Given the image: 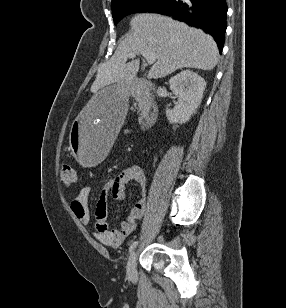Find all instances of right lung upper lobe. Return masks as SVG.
Masks as SVG:
<instances>
[{
    "mask_svg": "<svg viewBox=\"0 0 286 308\" xmlns=\"http://www.w3.org/2000/svg\"><path fill=\"white\" fill-rule=\"evenodd\" d=\"M119 0H112V5H114Z\"/></svg>",
    "mask_w": 286,
    "mask_h": 308,
    "instance_id": "obj_1",
    "label": "right lung upper lobe"
}]
</instances>
